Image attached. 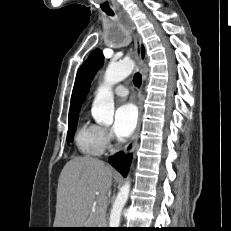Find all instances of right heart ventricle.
Listing matches in <instances>:
<instances>
[{
  "label": "right heart ventricle",
  "mask_w": 231,
  "mask_h": 231,
  "mask_svg": "<svg viewBox=\"0 0 231 231\" xmlns=\"http://www.w3.org/2000/svg\"><path fill=\"white\" fill-rule=\"evenodd\" d=\"M101 127L88 121L83 122L75 135L78 150L86 156H99L105 146L101 137Z\"/></svg>",
  "instance_id": "obj_1"
}]
</instances>
